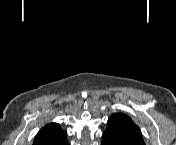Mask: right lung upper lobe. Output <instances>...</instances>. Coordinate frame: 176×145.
<instances>
[{
	"label": "right lung upper lobe",
	"instance_id": "right-lung-upper-lobe-1",
	"mask_svg": "<svg viewBox=\"0 0 176 145\" xmlns=\"http://www.w3.org/2000/svg\"><path fill=\"white\" fill-rule=\"evenodd\" d=\"M67 134L57 123H49L36 135L33 145H66Z\"/></svg>",
	"mask_w": 176,
	"mask_h": 145
}]
</instances>
